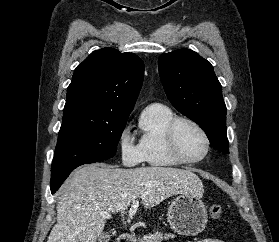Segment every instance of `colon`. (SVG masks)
I'll use <instances>...</instances> for the list:
<instances>
[{
  "label": "colon",
  "mask_w": 279,
  "mask_h": 242,
  "mask_svg": "<svg viewBox=\"0 0 279 242\" xmlns=\"http://www.w3.org/2000/svg\"><path fill=\"white\" fill-rule=\"evenodd\" d=\"M210 217L213 220H219L223 214V208L219 203H213L209 208Z\"/></svg>",
  "instance_id": "colon-1"
}]
</instances>
